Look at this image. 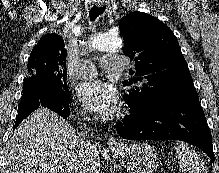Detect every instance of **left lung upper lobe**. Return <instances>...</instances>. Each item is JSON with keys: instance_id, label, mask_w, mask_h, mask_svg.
<instances>
[{"instance_id": "obj_1", "label": "left lung upper lobe", "mask_w": 219, "mask_h": 173, "mask_svg": "<svg viewBox=\"0 0 219 173\" xmlns=\"http://www.w3.org/2000/svg\"><path fill=\"white\" fill-rule=\"evenodd\" d=\"M124 53L135 60L137 76L123 82L130 109H151L184 98L198 97L179 43L164 23L143 12L120 20Z\"/></svg>"}]
</instances>
